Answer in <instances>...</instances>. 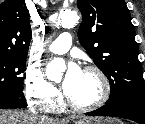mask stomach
Wrapping results in <instances>:
<instances>
[{"label": "stomach", "mask_w": 145, "mask_h": 124, "mask_svg": "<svg viewBox=\"0 0 145 124\" xmlns=\"http://www.w3.org/2000/svg\"><path fill=\"white\" fill-rule=\"evenodd\" d=\"M114 121L108 118H83L75 121L74 124H114Z\"/></svg>", "instance_id": "1"}]
</instances>
